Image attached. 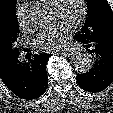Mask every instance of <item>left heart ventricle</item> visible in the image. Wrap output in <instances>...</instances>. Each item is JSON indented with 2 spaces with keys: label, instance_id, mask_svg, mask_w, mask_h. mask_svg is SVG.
<instances>
[{
  "label": "left heart ventricle",
  "instance_id": "left-heart-ventricle-1",
  "mask_svg": "<svg viewBox=\"0 0 113 113\" xmlns=\"http://www.w3.org/2000/svg\"><path fill=\"white\" fill-rule=\"evenodd\" d=\"M80 11L79 0H66L65 3V17L62 18L65 22L72 24ZM52 20L60 18L58 14L53 11Z\"/></svg>",
  "mask_w": 113,
  "mask_h": 113
}]
</instances>
